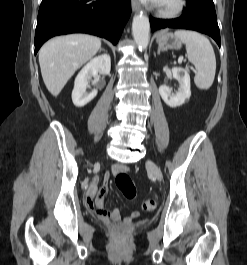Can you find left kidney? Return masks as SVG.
Listing matches in <instances>:
<instances>
[{
  "instance_id": "1",
  "label": "left kidney",
  "mask_w": 247,
  "mask_h": 265,
  "mask_svg": "<svg viewBox=\"0 0 247 265\" xmlns=\"http://www.w3.org/2000/svg\"><path fill=\"white\" fill-rule=\"evenodd\" d=\"M173 78L179 82L180 88L177 93H172V88L161 85L159 93L163 101L170 107L175 108L183 105L191 96L190 76L186 69L180 67L172 68Z\"/></svg>"
}]
</instances>
